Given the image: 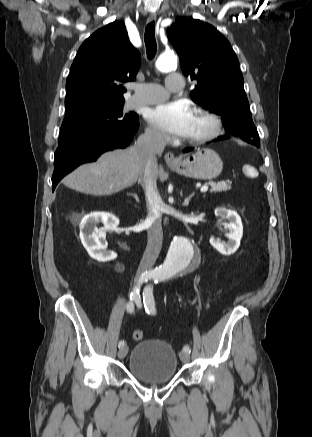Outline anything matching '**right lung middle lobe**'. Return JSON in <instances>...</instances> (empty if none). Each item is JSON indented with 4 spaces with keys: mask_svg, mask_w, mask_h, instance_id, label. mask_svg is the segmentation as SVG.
Wrapping results in <instances>:
<instances>
[{
    "mask_svg": "<svg viewBox=\"0 0 312 437\" xmlns=\"http://www.w3.org/2000/svg\"><path fill=\"white\" fill-rule=\"evenodd\" d=\"M124 102L83 103L66 107L59 145H66L79 138L103 131L130 126L137 121L134 113L123 114Z\"/></svg>",
    "mask_w": 312,
    "mask_h": 437,
    "instance_id": "obj_1",
    "label": "right lung middle lobe"
}]
</instances>
